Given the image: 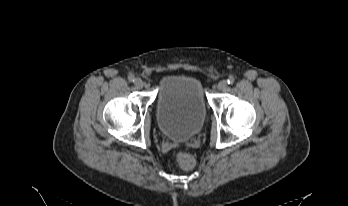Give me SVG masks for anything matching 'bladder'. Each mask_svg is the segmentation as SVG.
I'll return each mask as SVG.
<instances>
[{
    "mask_svg": "<svg viewBox=\"0 0 348 206\" xmlns=\"http://www.w3.org/2000/svg\"><path fill=\"white\" fill-rule=\"evenodd\" d=\"M157 120L164 136L189 140L202 128L207 108L201 82L192 76L171 75L158 87Z\"/></svg>",
    "mask_w": 348,
    "mask_h": 206,
    "instance_id": "1",
    "label": "bladder"
}]
</instances>
